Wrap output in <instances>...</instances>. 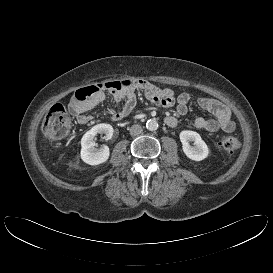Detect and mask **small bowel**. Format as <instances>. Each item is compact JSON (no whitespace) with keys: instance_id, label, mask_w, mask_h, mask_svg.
<instances>
[{"instance_id":"1","label":"small bowel","mask_w":273,"mask_h":273,"mask_svg":"<svg viewBox=\"0 0 273 273\" xmlns=\"http://www.w3.org/2000/svg\"><path fill=\"white\" fill-rule=\"evenodd\" d=\"M104 88L99 89L91 98L70 103V111L76 118V121L81 125L89 124L92 117L86 114L88 111L99 105L105 100ZM113 97L118 109L112 114L114 121H119L126 117L135 107L136 92H144L147 99L153 104L161 107H172L176 104V112L184 116L188 112V105L191 97L188 93H181L177 97L171 89H161L145 80L132 81L130 86L120 89H107ZM197 105L202 110L211 113L214 118L207 119L203 117L194 118L191 125L208 132H217L222 130L227 133H232L236 129L235 123L231 120L229 109L216 99L212 98H199ZM165 123L174 127L177 124V119L174 116H167Z\"/></svg>"}]
</instances>
